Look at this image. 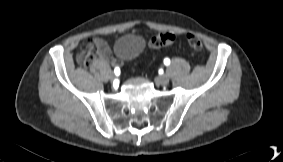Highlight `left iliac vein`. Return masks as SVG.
I'll return each instance as SVG.
<instances>
[{"label":"left iliac vein","mask_w":283,"mask_h":162,"mask_svg":"<svg viewBox=\"0 0 283 162\" xmlns=\"http://www.w3.org/2000/svg\"><path fill=\"white\" fill-rule=\"evenodd\" d=\"M156 82L160 85H167L169 83V78L167 75H161L156 78Z\"/></svg>","instance_id":"1"}]
</instances>
